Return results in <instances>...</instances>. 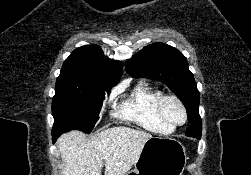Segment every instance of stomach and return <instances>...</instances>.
Returning <instances> with one entry per match:
<instances>
[{
  "label": "stomach",
  "mask_w": 251,
  "mask_h": 175,
  "mask_svg": "<svg viewBox=\"0 0 251 175\" xmlns=\"http://www.w3.org/2000/svg\"><path fill=\"white\" fill-rule=\"evenodd\" d=\"M186 161V149L179 139L152 135L127 175H182Z\"/></svg>",
  "instance_id": "stomach-1"
}]
</instances>
